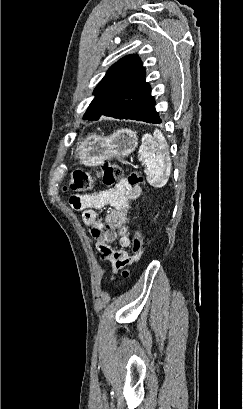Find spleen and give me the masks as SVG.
<instances>
[{
  "mask_svg": "<svg viewBox=\"0 0 243 409\" xmlns=\"http://www.w3.org/2000/svg\"><path fill=\"white\" fill-rule=\"evenodd\" d=\"M168 145L162 132L156 129L153 136L145 134L139 148V160L145 166L147 182L155 187H163L171 173V162L168 158Z\"/></svg>",
  "mask_w": 243,
  "mask_h": 409,
  "instance_id": "3e777b00",
  "label": "spleen"
}]
</instances>
